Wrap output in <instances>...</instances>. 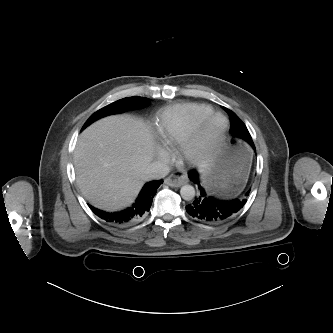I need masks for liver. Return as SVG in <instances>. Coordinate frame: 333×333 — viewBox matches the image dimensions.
<instances>
[{"instance_id":"obj_1","label":"liver","mask_w":333,"mask_h":333,"mask_svg":"<svg viewBox=\"0 0 333 333\" xmlns=\"http://www.w3.org/2000/svg\"><path fill=\"white\" fill-rule=\"evenodd\" d=\"M153 155L151 131L141 119L110 116L78 138L74 167L78 186L95 207L114 211L133 202ZM208 166L200 165L201 172Z\"/></svg>"}]
</instances>
